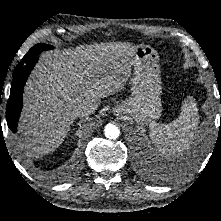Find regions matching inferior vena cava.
<instances>
[{"label": "inferior vena cava", "mask_w": 221, "mask_h": 221, "mask_svg": "<svg viewBox=\"0 0 221 221\" xmlns=\"http://www.w3.org/2000/svg\"><path fill=\"white\" fill-rule=\"evenodd\" d=\"M96 110V106L90 102H83L76 106L75 113L78 117H88L93 114Z\"/></svg>", "instance_id": "obj_1"}]
</instances>
